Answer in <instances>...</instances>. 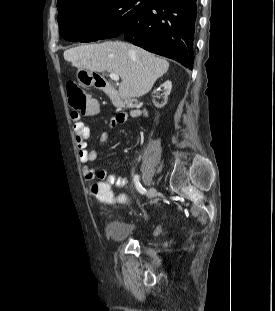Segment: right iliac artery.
I'll return each instance as SVG.
<instances>
[{
  "label": "right iliac artery",
  "mask_w": 275,
  "mask_h": 311,
  "mask_svg": "<svg viewBox=\"0 0 275 311\" xmlns=\"http://www.w3.org/2000/svg\"><path fill=\"white\" fill-rule=\"evenodd\" d=\"M134 183H135V187L136 189L138 190L139 193L141 194H146L147 191L145 188L142 187L140 181H139V176L138 175H135L134 176Z\"/></svg>",
  "instance_id": "82829eb1"
}]
</instances>
